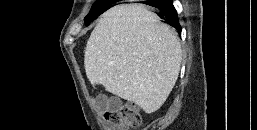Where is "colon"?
Wrapping results in <instances>:
<instances>
[{
  "mask_svg": "<svg viewBox=\"0 0 257 130\" xmlns=\"http://www.w3.org/2000/svg\"><path fill=\"white\" fill-rule=\"evenodd\" d=\"M104 117L117 130L136 128L141 123L139 109L134 103H125L120 107L112 108L106 111Z\"/></svg>",
  "mask_w": 257,
  "mask_h": 130,
  "instance_id": "1",
  "label": "colon"
}]
</instances>
